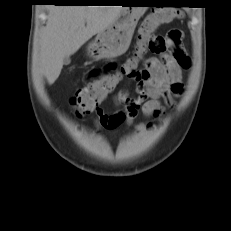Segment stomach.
Masks as SVG:
<instances>
[{"instance_id":"obj_1","label":"stomach","mask_w":231,"mask_h":231,"mask_svg":"<svg viewBox=\"0 0 231 231\" xmlns=\"http://www.w3.org/2000/svg\"><path fill=\"white\" fill-rule=\"evenodd\" d=\"M143 3L142 1H129ZM147 7H123L116 20L89 43L88 54L94 59L116 58L124 54L131 42L138 20Z\"/></svg>"}]
</instances>
